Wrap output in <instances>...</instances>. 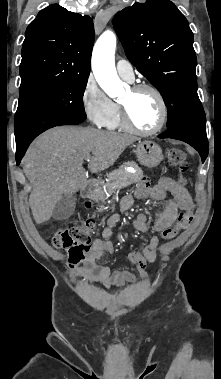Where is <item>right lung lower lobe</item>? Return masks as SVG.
Listing matches in <instances>:
<instances>
[{
	"mask_svg": "<svg viewBox=\"0 0 221 379\" xmlns=\"http://www.w3.org/2000/svg\"><path fill=\"white\" fill-rule=\"evenodd\" d=\"M79 124L78 121H66L63 122L62 125H77ZM32 142V140H29L27 142H21V143H16V162L17 165L20 163L22 157L24 156L29 144Z\"/></svg>",
	"mask_w": 221,
	"mask_h": 379,
	"instance_id": "1",
	"label": "right lung lower lobe"
}]
</instances>
